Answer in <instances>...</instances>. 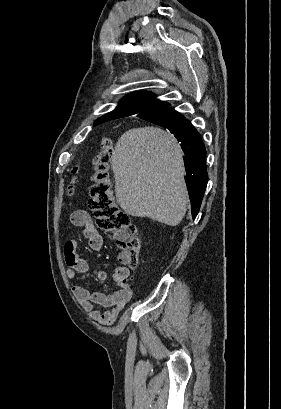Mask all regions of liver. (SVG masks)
I'll return each instance as SVG.
<instances>
[{
    "label": "liver",
    "mask_w": 281,
    "mask_h": 409,
    "mask_svg": "<svg viewBox=\"0 0 281 409\" xmlns=\"http://www.w3.org/2000/svg\"><path fill=\"white\" fill-rule=\"evenodd\" d=\"M119 205L132 217L176 227L188 202L182 150L162 128L144 126L121 134L111 158Z\"/></svg>",
    "instance_id": "6515ba94"
}]
</instances>
